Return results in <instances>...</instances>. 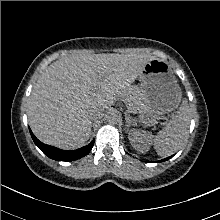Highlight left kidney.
Returning a JSON list of instances; mask_svg holds the SVG:
<instances>
[{
    "mask_svg": "<svg viewBox=\"0 0 220 220\" xmlns=\"http://www.w3.org/2000/svg\"><path fill=\"white\" fill-rule=\"evenodd\" d=\"M128 139L132 147L140 153H145L150 148L151 135L144 131L133 129L129 132Z\"/></svg>",
    "mask_w": 220,
    "mask_h": 220,
    "instance_id": "obj_1",
    "label": "left kidney"
}]
</instances>
